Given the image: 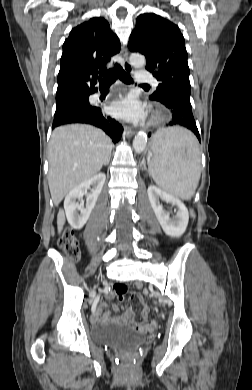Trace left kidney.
Instances as JSON below:
<instances>
[{
  "label": "left kidney",
  "instance_id": "obj_1",
  "mask_svg": "<svg viewBox=\"0 0 252 390\" xmlns=\"http://www.w3.org/2000/svg\"><path fill=\"white\" fill-rule=\"evenodd\" d=\"M147 193L151 207L163 231L168 236L180 237L185 232L189 221L188 210L183 202L174 195L165 192L154 185L148 187ZM160 200L176 206V215L170 218V212L163 209Z\"/></svg>",
  "mask_w": 252,
  "mask_h": 390
}]
</instances>
